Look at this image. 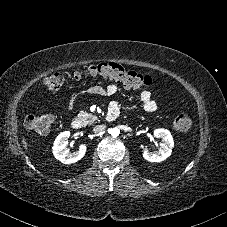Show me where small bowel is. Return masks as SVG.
I'll list each match as a JSON object with an SVG mask.
<instances>
[{"mask_svg":"<svg viewBox=\"0 0 227 227\" xmlns=\"http://www.w3.org/2000/svg\"><path fill=\"white\" fill-rule=\"evenodd\" d=\"M118 88L115 84L108 85L106 88L101 86H92L87 90H82L74 93L68 100L67 104L69 108H73L77 96L92 94L100 96L111 97L116 94ZM140 101L143 104L144 110L149 113H153L157 110V103L153 100L151 93L148 90H143L140 94ZM111 109H116L119 112V107L116 102L111 105Z\"/></svg>","mask_w":227,"mask_h":227,"instance_id":"c3829d8e","label":"small bowel"}]
</instances>
